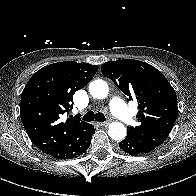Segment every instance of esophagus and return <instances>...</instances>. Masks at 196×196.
<instances>
[{
	"mask_svg": "<svg viewBox=\"0 0 196 196\" xmlns=\"http://www.w3.org/2000/svg\"><path fill=\"white\" fill-rule=\"evenodd\" d=\"M100 126H108L109 125V122H99L98 123Z\"/></svg>",
	"mask_w": 196,
	"mask_h": 196,
	"instance_id": "34e87169",
	"label": "esophagus"
}]
</instances>
